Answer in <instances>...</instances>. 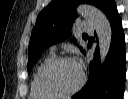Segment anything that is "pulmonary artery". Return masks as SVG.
Segmentation results:
<instances>
[{
    "instance_id": "e3ab8cb5",
    "label": "pulmonary artery",
    "mask_w": 128,
    "mask_h": 99,
    "mask_svg": "<svg viewBox=\"0 0 128 99\" xmlns=\"http://www.w3.org/2000/svg\"><path fill=\"white\" fill-rule=\"evenodd\" d=\"M79 26H80V29L82 31H86V32H89V33L94 32V27L91 24L87 23V22H81L79 24ZM51 49L54 51L56 49V47L53 46Z\"/></svg>"
}]
</instances>
